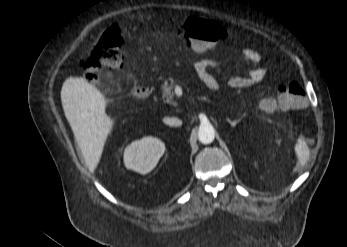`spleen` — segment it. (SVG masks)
I'll return each instance as SVG.
<instances>
[{"mask_svg": "<svg viewBox=\"0 0 347 247\" xmlns=\"http://www.w3.org/2000/svg\"><path fill=\"white\" fill-rule=\"evenodd\" d=\"M296 151H297L300 163L304 164L310 154L309 148L304 140L298 141V144L296 146Z\"/></svg>", "mask_w": 347, "mask_h": 247, "instance_id": "3e777b00", "label": "spleen"}]
</instances>
